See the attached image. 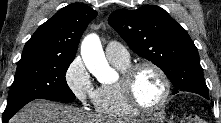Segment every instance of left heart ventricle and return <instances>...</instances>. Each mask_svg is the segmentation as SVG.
<instances>
[{
    "label": "left heart ventricle",
    "mask_w": 221,
    "mask_h": 123,
    "mask_svg": "<svg viewBox=\"0 0 221 123\" xmlns=\"http://www.w3.org/2000/svg\"><path fill=\"white\" fill-rule=\"evenodd\" d=\"M133 90L137 100L147 107L157 105L164 94L160 76L150 68H143L136 74Z\"/></svg>",
    "instance_id": "1"
}]
</instances>
